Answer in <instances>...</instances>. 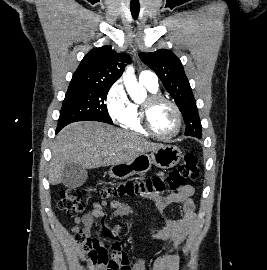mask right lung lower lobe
I'll return each instance as SVG.
<instances>
[{"instance_id":"98d812e1","label":"right lung lower lobe","mask_w":267,"mask_h":270,"mask_svg":"<svg viewBox=\"0 0 267 270\" xmlns=\"http://www.w3.org/2000/svg\"><path fill=\"white\" fill-rule=\"evenodd\" d=\"M60 130H61V128H57V129H56V133H58Z\"/></svg>"}]
</instances>
